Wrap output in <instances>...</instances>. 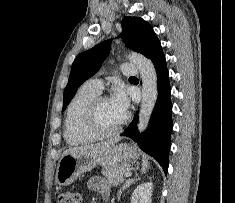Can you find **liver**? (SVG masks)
Returning <instances> with one entry per match:
<instances>
[{"label":"liver","mask_w":235,"mask_h":203,"mask_svg":"<svg viewBox=\"0 0 235 203\" xmlns=\"http://www.w3.org/2000/svg\"><path fill=\"white\" fill-rule=\"evenodd\" d=\"M119 140H120V138H114V139L108 140L106 142H100V143H96V144H88V145L80 146V147H72V148H69L66 151H64L62 156H65L68 154H75L78 152L89 151V150L93 151V150H98V149L109 147V146H114Z\"/></svg>","instance_id":"obj_1"}]
</instances>
